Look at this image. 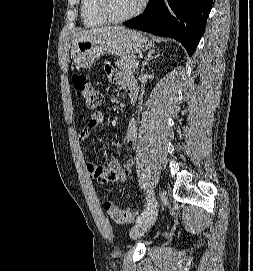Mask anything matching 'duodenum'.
Returning <instances> with one entry per match:
<instances>
[{"instance_id": "410a0bca", "label": "duodenum", "mask_w": 253, "mask_h": 271, "mask_svg": "<svg viewBox=\"0 0 253 271\" xmlns=\"http://www.w3.org/2000/svg\"><path fill=\"white\" fill-rule=\"evenodd\" d=\"M132 97V99H134V96L133 95H130Z\"/></svg>"}]
</instances>
